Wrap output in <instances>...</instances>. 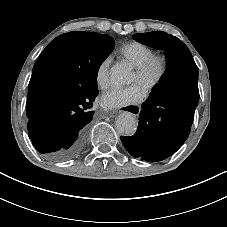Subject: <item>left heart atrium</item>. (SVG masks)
I'll return each instance as SVG.
<instances>
[{
	"instance_id": "left-heart-atrium-1",
	"label": "left heart atrium",
	"mask_w": 227,
	"mask_h": 227,
	"mask_svg": "<svg viewBox=\"0 0 227 227\" xmlns=\"http://www.w3.org/2000/svg\"><path fill=\"white\" fill-rule=\"evenodd\" d=\"M147 96V90L140 84L128 88H111L103 93L102 104L110 109L140 104Z\"/></svg>"
}]
</instances>
